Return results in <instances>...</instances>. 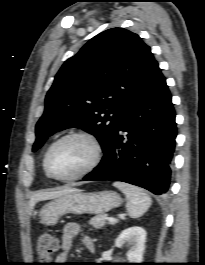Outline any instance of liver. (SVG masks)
Masks as SVG:
<instances>
[{
    "mask_svg": "<svg viewBox=\"0 0 205 265\" xmlns=\"http://www.w3.org/2000/svg\"><path fill=\"white\" fill-rule=\"evenodd\" d=\"M80 191L79 189L72 188V187H65L60 190L56 191H48V192H38L32 196L29 202V212L31 213L35 204L39 201H44V200H50V199H55L60 196H63L65 194L71 193V192H77Z\"/></svg>",
    "mask_w": 205,
    "mask_h": 265,
    "instance_id": "1",
    "label": "liver"
}]
</instances>
